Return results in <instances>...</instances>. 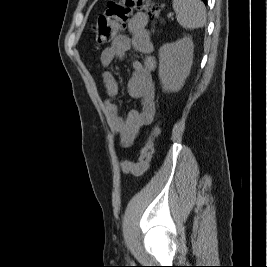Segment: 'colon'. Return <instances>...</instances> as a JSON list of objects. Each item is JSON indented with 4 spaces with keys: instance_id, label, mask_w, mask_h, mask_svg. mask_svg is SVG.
<instances>
[{
    "instance_id": "1",
    "label": "colon",
    "mask_w": 267,
    "mask_h": 267,
    "mask_svg": "<svg viewBox=\"0 0 267 267\" xmlns=\"http://www.w3.org/2000/svg\"><path fill=\"white\" fill-rule=\"evenodd\" d=\"M134 10L144 11L152 20L159 18L161 6L151 0H110L107 9L95 24L96 42L104 45L111 42L125 27L129 16ZM158 125L152 129L146 143L140 149L137 162L122 160L120 167L126 174L142 175L148 168L154 151V140L158 136Z\"/></svg>"
}]
</instances>
